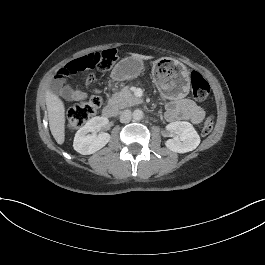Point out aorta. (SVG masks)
<instances>
[{
  "label": "aorta",
  "instance_id": "1",
  "mask_svg": "<svg viewBox=\"0 0 265 265\" xmlns=\"http://www.w3.org/2000/svg\"><path fill=\"white\" fill-rule=\"evenodd\" d=\"M132 115L134 120H141L143 118V112L140 109L134 110Z\"/></svg>",
  "mask_w": 265,
  "mask_h": 265
}]
</instances>
